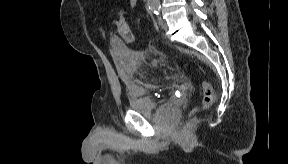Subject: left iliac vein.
<instances>
[{"instance_id": "obj_1", "label": "left iliac vein", "mask_w": 288, "mask_h": 164, "mask_svg": "<svg viewBox=\"0 0 288 164\" xmlns=\"http://www.w3.org/2000/svg\"><path fill=\"white\" fill-rule=\"evenodd\" d=\"M158 22H159V26H160L162 29H166V28H167V24H166L165 20H164L162 17H159V18H158Z\"/></svg>"}]
</instances>
